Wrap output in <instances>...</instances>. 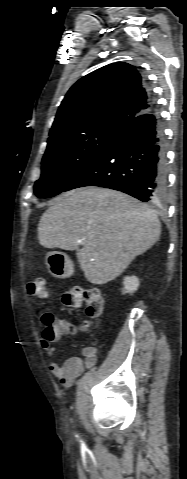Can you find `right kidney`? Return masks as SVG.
Masks as SVG:
<instances>
[{
  "label": "right kidney",
  "instance_id": "ca27d5eb",
  "mask_svg": "<svg viewBox=\"0 0 187 479\" xmlns=\"http://www.w3.org/2000/svg\"><path fill=\"white\" fill-rule=\"evenodd\" d=\"M139 279L136 276H126L123 280V290L122 293L126 294H133L135 291H137L139 287Z\"/></svg>",
  "mask_w": 187,
  "mask_h": 479
}]
</instances>
